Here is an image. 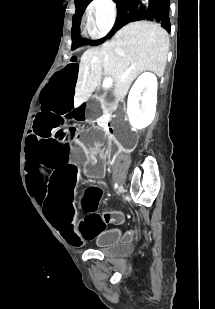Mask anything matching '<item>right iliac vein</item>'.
Masks as SVG:
<instances>
[{
    "instance_id": "obj_1",
    "label": "right iliac vein",
    "mask_w": 215,
    "mask_h": 309,
    "mask_svg": "<svg viewBox=\"0 0 215 309\" xmlns=\"http://www.w3.org/2000/svg\"><path fill=\"white\" fill-rule=\"evenodd\" d=\"M123 190H124V188H123V186L121 185V186L119 187V192L122 193Z\"/></svg>"
}]
</instances>
